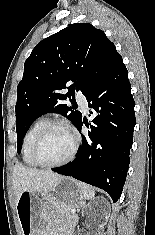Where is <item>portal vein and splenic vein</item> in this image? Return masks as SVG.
<instances>
[{"instance_id":"18ae733b","label":"portal vein and splenic vein","mask_w":155,"mask_h":235,"mask_svg":"<svg viewBox=\"0 0 155 235\" xmlns=\"http://www.w3.org/2000/svg\"><path fill=\"white\" fill-rule=\"evenodd\" d=\"M71 212H72V213H75V210H74V209H72V210H71Z\"/></svg>"}]
</instances>
